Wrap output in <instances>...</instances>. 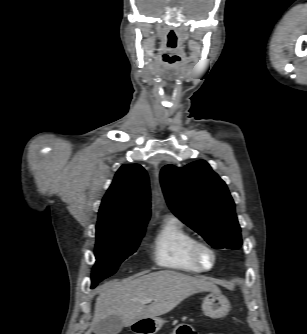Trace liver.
<instances>
[{"label":"liver","mask_w":307,"mask_h":334,"mask_svg":"<svg viewBox=\"0 0 307 334\" xmlns=\"http://www.w3.org/2000/svg\"><path fill=\"white\" fill-rule=\"evenodd\" d=\"M90 329L104 318L120 316L124 326H131L141 319H153L174 309L190 295L202 291L220 292L212 282L176 271L152 272L135 279L117 280L100 287ZM152 298L150 305L143 303Z\"/></svg>","instance_id":"liver-1"}]
</instances>
